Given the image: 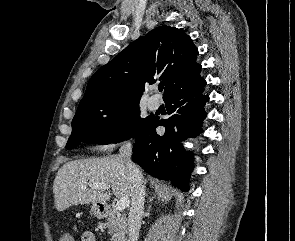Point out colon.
Here are the masks:
<instances>
[{
    "label": "colon",
    "mask_w": 295,
    "mask_h": 241,
    "mask_svg": "<svg viewBox=\"0 0 295 241\" xmlns=\"http://www.w3.org/2000/svg\"><path fill=\"white\" fill-rule=\"evenodd\" d=\"M62 241H74L70 234L64 233L62 236Z\"/></svg>",
    "instance_id": "1"
}]
</instances>
